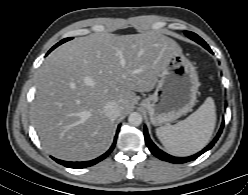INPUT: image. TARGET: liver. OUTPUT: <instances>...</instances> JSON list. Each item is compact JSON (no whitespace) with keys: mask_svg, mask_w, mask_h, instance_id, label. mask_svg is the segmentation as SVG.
Returning <instances> with one entry per match:
<instances>
[{"mask_svg":"<svg viewBox=\"0 0 248 195\" xmlns=\"http://www.w3.org/2000/svg\"><path fill=\"white\" fill-rule=\"evenodd\" d=\"M181 53L156 32L91 34L62 44L38 70L31 116L43 148L68 161L94 159L108 150L114 120L103 108L116 101L127 114L135 92L153 90L168 57Z\"/></svg>","mask_w":248,"mask_h":195,"instance_id":"1","label":"liver"}]
</instances>
